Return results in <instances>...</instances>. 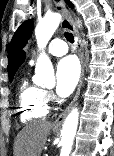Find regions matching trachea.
<instances>
[{
  "instance_id": "3493384b",
  "label": "trachea",
  "mask_w": 114,
  "mask_h": 156,
  "mask_svg": "<svg viewBox=\"0 0 114 156\" xmlns=\"http://www.w3.org/2000/svg\"><path fill=\"white\" fill-rule=\"evenodd\" d=\"M64 36H65V38H66L69 42H71V43L74 42V36H73L71 33L66 32V33L64 34Z\"/></svg>"
}]
</instances>
